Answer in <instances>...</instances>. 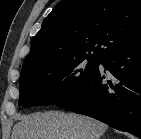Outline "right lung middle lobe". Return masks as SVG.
Returning <instances> with one entry per match:
<instances>
[{
  "mask_svg": "<svg viewBox=\"0 0 141 139\" xmlns=\"http://www.w3.org/2000/svg\"><path fill=\"white\" fill-rule=\"evenodd\" d=\"M100 61L97 57L82 56L22 70L18 105H52L65 100L91 79Z\"/></svg>",
  "mask_w": 141,
  "mask_h": 139,
  "instance_id": "dd1d6c3e",
  "label": "right lung middle lobe"
}]
</instances>
